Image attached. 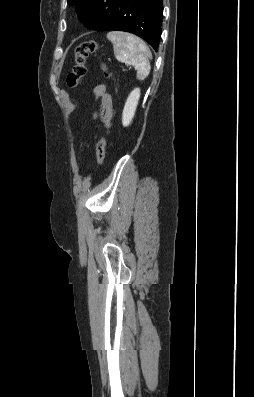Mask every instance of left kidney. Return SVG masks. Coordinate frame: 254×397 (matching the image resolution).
Segmentation results:
<instances>
[{"instance_id":"1","label":"left kidney","mask_w":254,"mask_h":397,"mask_svg":"<svg viewBox=\"0 0 254 397\" xmlns=\"http://www.w3.org/2000/svg\"><path fill=\"white\" fill-rule=\"evenodd\" d=\"M140 98V89L136 88L134 89L130 95L127 98V101L125 103L123 113H122V124L124 127H127L130 125L134 115L135 111L138 105V101Z\"/></svg>"}]
</instances>
